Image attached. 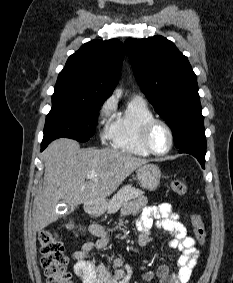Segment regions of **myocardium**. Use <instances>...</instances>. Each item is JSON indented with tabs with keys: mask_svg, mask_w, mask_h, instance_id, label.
I'll use <instances>...</instances> for the list:
<instances>
[{
	"mask_svg": "<svg viewBox=\"0 0 233 283\" xmlns=\"http://www.w3.org/2000/svg\"><path fill=\"white\" fill-rule=\"evenodd\" d=\"M157 124L162 125L166 129L169 135V146L165 151H162V152L155 151L152 148L150 141H149L151 130ZM139 138H140V143L143 146V148L149 154L155 155V156H163V155L168 154L171 151L173 144H174V134H173L171 127L165 120L157 118V117H152L143 123L140 129Z\"/></svg>",
	"mask_w": 233,
	"mask_h": 283,
	"instance_id": "1",
	"label": "myocardium"
}]
</instances>
